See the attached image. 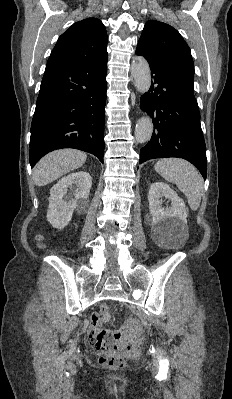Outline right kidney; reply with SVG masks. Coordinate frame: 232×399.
<instances>
[{
  "label": "right kidney",
  "instance_id": "1",
  "mask_svg": "<svg viewBox=\"0 0 232 399\" xmlns=\"http://www.w3.org/2000/svg\"><path fill=\"white\" fill-rule=\"evenodd\" d=\"M92 186V178L88 172H74L61 178L50 190L47 219L53 227L63 229L68 225L76 207L85 209Z\"/></svg>",
  "mask_w": 232,
  "mask_h": 399
}]
</instances>
